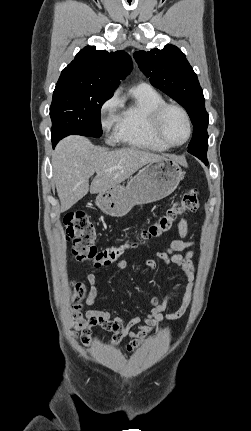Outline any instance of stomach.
<instances>
[{"label":"stomach","mask_w":251,"mask_h":431,"mask_svg":"<svg viewBox=\"0 0 251 431\" xmlns=\"http://www.w3.org/2000/svg\"><path fill=\"white\" fill-rule=\"evenodd\" d=\"M184 172L173 158L148 163L130 179L126 187L115 186L100 192L96 205L105 214L125 216L133 206L148 204L170 195L183 179Z\"/></svg>","instance_id":"stomach-1"}]
</instances>
